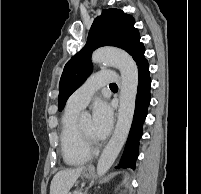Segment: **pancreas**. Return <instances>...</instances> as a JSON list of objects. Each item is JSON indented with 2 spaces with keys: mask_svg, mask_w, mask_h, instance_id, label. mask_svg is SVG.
Wrapping results in <instances>:
<instances>
[{
  "mask_svg": "<svg viewBox=\"0 0 201 194\" xmlns=\"http://www.w3.org/2000/svg\"><path fill=\"white\" fill-rule=\"evenodd\" d=\"M80 193H81V192H77V191H76V192H74L73 194H80Z\"/></svg>",
  "mask_w": 201,
  "mask_h": 194,
  "instance_id": "obj_1",
  "label": "pancreas"
}]
</instances>
